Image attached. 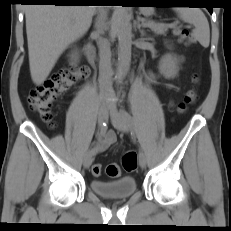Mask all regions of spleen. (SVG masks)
<instances>
[{"label": "spleen", "mask_w": 231, "mask_h": 231, "mask_svg": "<svg viewBox=\"0 0 231 231\" xmlns=\"http://www.w3.org/2000/svg\"><path fill=\"white\" fill-rule=\"evenodd\" d=\"M174 9L181 19L195 26L194 37L207 48L210 42V28L204 13L198 8L176 7Z\"/></svg>", "instance_id": "spleen-1"}]
</instances>
